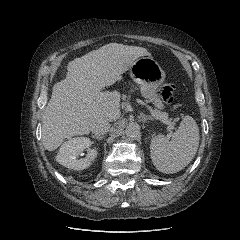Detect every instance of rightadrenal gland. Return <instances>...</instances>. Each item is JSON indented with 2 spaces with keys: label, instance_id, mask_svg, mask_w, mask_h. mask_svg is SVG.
I'll use <instances>...</instances> for the list:
<instances>
[{
  "label": "right adrenal gland",
  "instance_id": "obj_1",
  "mask_svg": "<svg viewBox=\"0 0 240 240\" xmlns=\"http://www.w3.org/2000/svg\"><path fill=\"white\" fill-rule=\"evenodd\" d=\"M92 138L97 139V140H103V139H104V136L92 135Z\"/></svg>",
  "mask_w": 240,
  "mask_h": 240
}]
</instances>
